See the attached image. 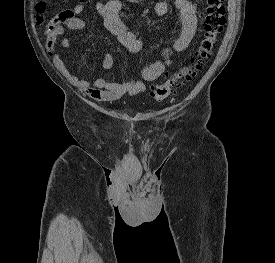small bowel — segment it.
Wrapping results in <instances>:
<instances>
[{
	"instance_id": "obj_1",
	"label": "small bowel",
	"mask_w": 275,
	"mask_h": 263,
	"mask_svg": "<svg viewBox=\"0 0 275 263\" xmlns=\"http://www.w3.org/2000/svg\"><path fill=\"white\" fill-rule=\"evenodd\" d=\"M126 1L138 3L142 0ZM170 5H173L179 12V27L175 31L176 38L163 47L160 60L144 65L136 78L125 83L110 81L104 76H98L92 81L81 79L68 70L63 56L55 52V45L59 39L62 47H70V41L65 35L66 30H82L86 27V21L80 17L86 9L85 3H79L74 7L60 11L50 21L46 33V49L52 57L54 66L68 82L95 101L112 102L126 95L143 93L147 82L156 80L167 68L173 66V54L185 51L197 30V0H159L154 8L155 15L157 17L166 16ZM122 6L120 0H109L107 2H97L94 8L107 31L114 35L129 52L139 53L143 49L144 42L124 25ZM113 65L114 58L112 54H105L102 60L103 69L107 71Z\"/></svg>"
}]
</instances>
